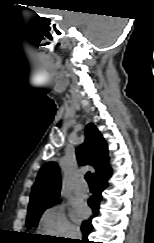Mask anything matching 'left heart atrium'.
Returning <instances> with one entry per match:
<instances>
[{
	"instance_id": "obj_1",
	"label": "left heart atrium",
	"mask_w": 154,
	"mask_h": 243,
	"mask_svg": "<svg viewBox=\"0 0 154 243\" xmlns=\"http://www.w3.org/2000/svg\"><path fill=\"white\" fill-rule=\"evenodd\" d=\"M88 213L87 207L83 204L76 206L73 209L72 216L75 220L84 218Z\"/></svg>"
}]
</instances>
